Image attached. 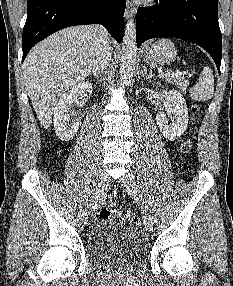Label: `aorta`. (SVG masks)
I'll return each instance as SVG.
<instances>
[{
  "instance_id": "1",
  "label": "aorta",
  "mask_w": 233,
  "mask_h": 286,
  "mask_svg": "<svg viewBox=\"0 0 233 286\" xmlns=\"http://www.w3.org/2000/svg\"><path fill=\"white\" fill-rule=\"evenodd\" d=\"M136 56V26L131 18L125 27L120 58V81L123 85H128L132 80Z\"/></svg>"
}]
</instances>
